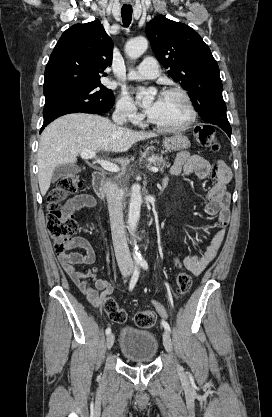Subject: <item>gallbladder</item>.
Wrapping results in <instances>:
<instances>
[{
  "instance_id": "gallbladder-1",
  "label": "gallbladder",
  "mask_w": 272,
  "mask_h": 417,
  "mask_svg": "<svg viewBox=\"0 0 272 417\" xmlns=\"http://www.w3.org/2000/svg\"><path fill=\"white\" fill-rule=\"evenodd\" d=\"M81 171V168L77 165L73 164H59L56 166V168L53 171L52 174V180L55 182L60 177L63 176H71L76 173H79Z\"/></svg>"
}]
</instances>
